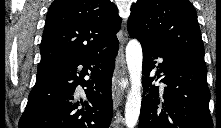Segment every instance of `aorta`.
Segmentation results:
<instances>
[{"instance_id": "obj_1", "label": "aorta", "mask_w": 221, "mask_h": 128, "mask_svg": "<svg viewBox=\"0 0 221 128\" xmlns=\"http://www.w3.org/2000/svg\"><path fill=\"white\" fill-rule=\"evenodd\" d=\"M126 61L131 87L125 105V123L128 128L137 124L141 109V76L143 54L138 40L132 39L126 46Z\"/></svg>"}]
</instances>
